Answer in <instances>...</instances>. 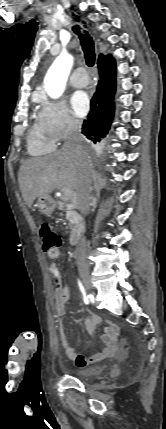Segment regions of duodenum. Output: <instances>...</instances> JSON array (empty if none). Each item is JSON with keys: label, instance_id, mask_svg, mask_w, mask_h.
<instances>
[{"label": "duodenum", "instance_id": "duodenum-1", "mask_svg": "<svg viewBox=\"0 0 166 429\" xmlns=\"http://www.w3.org/2000/svg\"><path fill=\"white\" fill-rule=\"evenodd\" d=\"M60 209L64 208V204L61 203L58 206ZM85 231V223L82 220H78L75 226V229L73 230L71 236H70V243L71 245H76L80 241V238L82 234Z\"/></svg>", "mask_w": 166, "mask_h": 429}]
</instances>
